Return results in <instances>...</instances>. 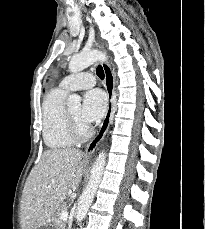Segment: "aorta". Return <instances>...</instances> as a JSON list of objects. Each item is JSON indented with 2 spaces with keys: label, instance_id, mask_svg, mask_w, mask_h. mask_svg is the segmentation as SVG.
Segmentation results:
<instances>
[{
  "label": "aorta",
  "instance_id": "obj_1",
  "mask_svg": "<svg viewBox=\"0 0 205 229\" xmlns=\"http://www.w3.org/2000/svg\"><path fill=\"white\" fill-rule=\"evenodd\" d=\"M97 61H107V56L98 50L83 51L72 56L69 62V71L72 73L82 71ZM67 104L69 106H80L81 97L77 94H72L68 97ZM105 164L106 153L102 151L97 156L91 170L88 184L79 197L76 213L77 222H81L85 218L86 213L94 200L98 186L102 180Z\"/></svg>",
  "mask_w": 205,
  "mask_h": 229
}]
</instances>
